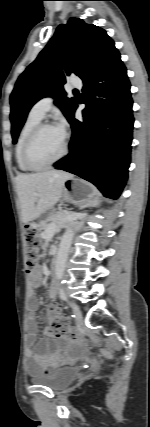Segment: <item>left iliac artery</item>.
<instances>
[{
    "label": "left iliac artery",
    "mask_w": 150,
    "mask_h": 427,
    "mask_svg": "<svg viewBox=\"0 0 150 427\" xmlns=\"http://www.w3.org/2000/svg\"><path fill=\"white\" fill-rule=\"evenodd\" d=\"M59 297L62 299V300H67V295H66V292H65V290H64V288L63 287H60L59 288Z\"/></svg>",
    "instance_id": "left-iliac-artery-1"
}]
</instances>
